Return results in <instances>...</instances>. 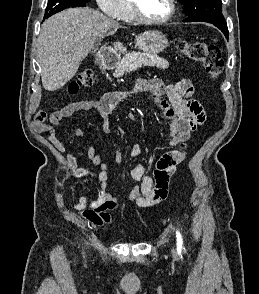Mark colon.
<instances>
[{
	"instance_id": "obj_1",
	"label": "colon",
	"mask_w": 259,
	"mask_h": 294,
	"mask_svg": "<svg viewBox=\"0 0 259 294\" xmlns=\"http://www.w3.org/2000/svg\"><path fill=\"white\" fill-rule=\"evenodd\" d=\"M177 47L186 57L200 62L212 78H218L221 74L224 63L218 46L201 41L178 40ZM93 82L92 70H83L69 86V92L75 94L80 88L89 87Z\"/></svg>"
}]
</instances>
